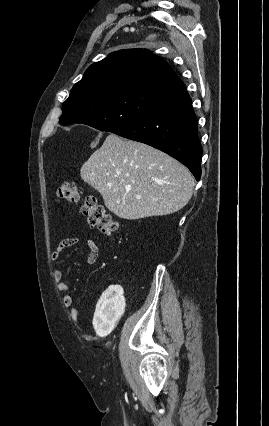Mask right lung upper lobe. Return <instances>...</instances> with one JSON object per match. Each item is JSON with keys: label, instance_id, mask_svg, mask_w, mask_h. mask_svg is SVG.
Returning a JSON list of instances; mask_svg holds the SVG:
<instances>
[{"label": "right lung upper lobe", "instance_id": "cb5924a9", "mask_svg": "<svg viewBox=\"0 0 269 426\" xmlns=\"http://www.w3.org/2000/svg\"><path fill=\"white\" fill-rule=\"evenodd\" d=\"M178 81L180 79L164 59L144 49H127L113 52L92 64L70 94L93 97L103 92L130 89L161 92Z\"/></svg>", "mask_w": 269, "mask_h": 426}]
</instances>
